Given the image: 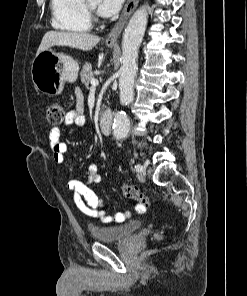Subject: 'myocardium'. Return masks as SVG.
<instances>
[{
  "mask_svg": "<svg viewBox=\"0 0 247 296\" xmlns=\"http://www.w3.org/2000/svg\"><path fill=\"white\" fill-rule=\"evenodd\" d=\"M84 6L89 14V17L90 19L91 18H94L96 19V10L94 7H92L90 4H89V0H84Z\"/></svg>",
  "mask_w": 247,
  "mask_h": 296,
  "instance_id": "1",
  "label": "myocardium"
}]
</instances>
